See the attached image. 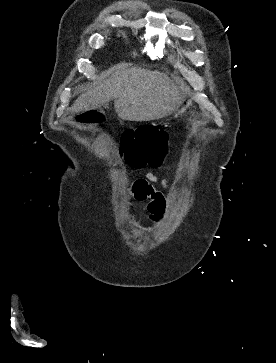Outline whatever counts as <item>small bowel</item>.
<instances>
[{
    "mask_svg": "<svg viewBox=\"0 0 276 363\" xmlns=\"http://www.w3.org/2000/svg\"><path fill=\"white\" fill-rule=\"evenodd\" d=\"M161 183L164 189L170 187L168 178L160 179L156 174L147 172L144 177L136 179L132 185L131 195L138 202H148V212L155 216L165 208V196L154 184Z\"/></svg>",
    "mask_w": 276,
    "mask_h": 363,
    "instance_id": "c3829d8e",
    "label": "small bowel"
}]
</instances>
